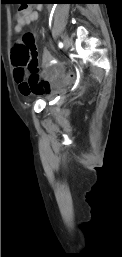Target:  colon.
Wrapping results in <instances>:
<instances>
[{
  "label": "colon",
  "mask_w": 122,
  "mask_h": 257,
  "mask_svg": "<svg viewBox=\"0 0 122 257\" xmlns=\"http://www.w3.org/2000/svg\"><path fill=\"white\" fill-rule=\"evenodd\" d=\"M27 7H22L21 10ZM12 61L16 67H27L33 78L38 73L37 56L34 45V36L31 33L23 35L22 40L12 50ZM67 80L64 85H73L78 82L77 72L73 68H66Z\"/></svg>",
  "instance_id": "colon-1"
}]
</instances>
